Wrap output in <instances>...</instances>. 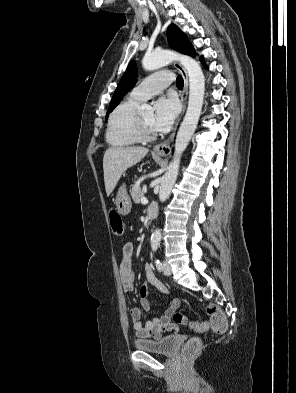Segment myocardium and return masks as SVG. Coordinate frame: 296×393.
<instances>
[{
  "instance_id": "myocardium-1",
  "label": "myocardium",
  "mask_w": 296,
  "mask_h": 393,
  "mask_svg": "<svg viewBox=\"0 0 296 393\" xmlns=\"http://www.w3.org/2000/svg\"><path fill=\"white\" fill-rule=\"evenodd\" d=\"M136 130L141 141H151L156 136L155 132L143 122L140 115H137Z\"/></svg>"
}]
</instances>
